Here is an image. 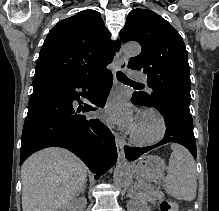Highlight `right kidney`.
Here are the masks:
<instances>
[{
    "mask_svg": "<svg viewBox=\"0 0 219 211\" xmlns=\"http://www.w3.org/2000/svg\"><path fill=\"white\" fill-rule=\"evenodd\" d=\"M71 207H76V203H71V205H65L61 211H71Z\"/></svg>",
    "mask_w": 219,
    "mask_h": 211,
    "instance_id": "obj_1",
    "label": "right kidney"
}]
</instances>
